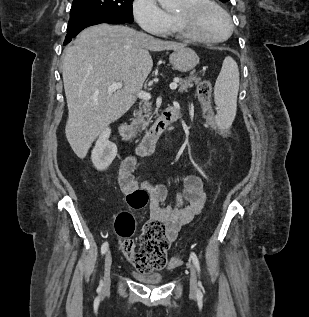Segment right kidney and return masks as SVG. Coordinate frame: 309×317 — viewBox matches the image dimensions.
I'll use <instances>...</instances> for the list:
<instances>
[{
  "mask_svg": "<svg viewBox=\"0 0 309 317\" xmlns=\"http://www.w3.org/2000/svg\"><path fill=\"white\" fill-rule=\"evenodd\" d=\"M111 134L110 128H105L96 141L92 150L91 160L99 171L106 170L117 155V146L108 140Z\"/></svg>",
  "mask_w": 309,
  "mask_h": 317,
  "instance_id": "1",
  "label": "right kidney"
}]
</instances>
